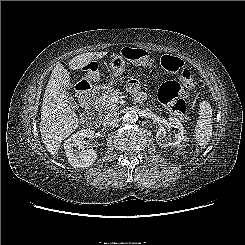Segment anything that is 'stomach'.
Listing matches in <instances>:
<instances>
[{"label":"stomach","mask_w":245,"mask_h":245,"mask_svg":"<svg viewBox=\"0 0 245 245\" xmlns=\"http://www.w3.org/2000/svg\"><path fill=\"white\" fill-rule=\"evenodd\" d=\"M110 67L113 71L114 77H118L122 75L123 72L125 71V58L121 55H114L111 58ZM84 69L86 71L85 78H84L86 81L90 83L92 81L97 80L98 77L96 71L89 68L88 65H86Z\"/></svg>","instance_id":"1"}]
</instances>
